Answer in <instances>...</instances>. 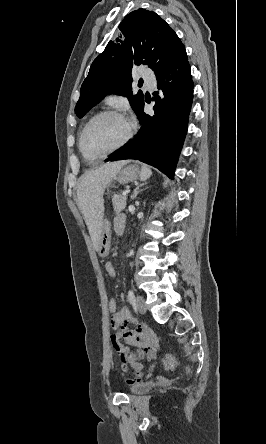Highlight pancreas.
I'll list each match as a JSON object with an SVG mask.
<instances>
[{"instance_id": "cf45deb5", "label": "pancreas", "mask_w": 266, "mask_h": 444, "mask_svg": "<svg viewBox=\"0 0 266 444\" xmlns=\"http://www.w3.org/2000/svg\"><path fill=\"white\" fill-rule=\"evenodd\" d=\"M127 196L124 195H113L112 203L115 213H120L126 207Z\"/></svg>"}]
</instances>
